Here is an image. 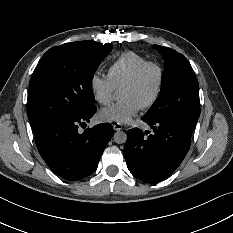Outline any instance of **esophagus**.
<instances>
[{
    "label": "esophagus",
    "mask_w": 233,
    "mask_h": 233,
    "mask_svg": "<svg viewBox=\"0 0 233 233\" xmlns=\"http://www.w3.org/2000/svg\"><path fill=\"white\" fill-rule=\"evenodd\" d=\"M113 129L116 131L122 130L123 129V125L120 123H114L113 124Z\"/></svg>",
    "instance_id": "34e87169"
}]
</instances>
